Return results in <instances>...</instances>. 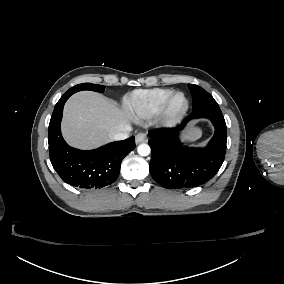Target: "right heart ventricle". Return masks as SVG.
Returning <instances> with one entry per match:
<instances>
[{
  "label": "right heart ventricle",
  "instance_id": "right-heart-ventricle-1",
  "mask_svg": "<svg viewBox=\"0 0 284 284\" xmlns=\"http://www.w3.org/2000/svg\"><path fill=\"white\" fill-rule=\"evenodd\" d=\"M174 92L171 88L139 89L124 96V109L133 120H145L154 116L162 101Z\"/></svg>",
  "mask_w": 284,
  "mask_h": 284
}]
</instances>
